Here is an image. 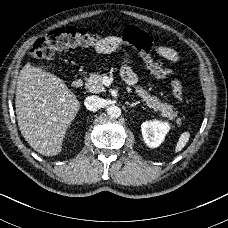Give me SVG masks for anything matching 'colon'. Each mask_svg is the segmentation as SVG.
Masks as SVG:
<instances>
[{"instance_id":"colon-1","label":"colon","mask_w":228,"mask_h":228,"mask_svg":"<svg viewBox=\"0 0 228 228\" xmlns=\"http://www.w3.org/2000/svg\"><path fill=\"white\" fill-rule=\"evenodd\" d=\"M104 38L94 35L84 29L75 26L59 28L38 39L34 44L31 54L35 59H46L53 56L58 51H67L72 49L88 50L97 44H104ZM171 90L173 96L183 99V86L181 75L171 76Z\"/></svg>"}]
</instances>
